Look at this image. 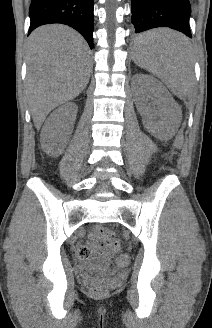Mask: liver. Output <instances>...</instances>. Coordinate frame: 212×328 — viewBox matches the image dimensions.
I'll list each match as a JSON object with an SVG mask.
<instances>
[{
  "instance_id": "obj_1",
  "label": "liver",
  "mask_w": 212,
  "mask_h": 328,
  "mask_svg": "<svg viewBox=\"0 0 212 328\" xmlns=\"http://www.w3.org/2000/svg\"><path fill=\"white\" fill-rule=\"evenodd\" d=\"M26 93L39 130L51 110L77 97L90 78V50L84 38L64 25L37 28L27 45Z\"/></svg>"
}]
</instances>
